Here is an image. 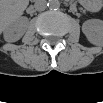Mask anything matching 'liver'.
<instances>
[{"label":"liver","instance_id":"1","mask_svg":"<svg viewBox=\"0 0 103 103\" xmlns=\"http://www.w3.org/2000/svg\"><path fill=\"white\" fill-rule=\"evenodd\" d=\"M28 5L24 0H6L1 3V32L17 21Z\"/></svg>","mask_w":103,"mask_h":103}]
</instances>
